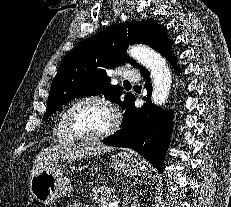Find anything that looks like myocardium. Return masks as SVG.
I'll return each instance as SVG.
<instances>
[{
  "instance_id": "1",
  "label": "myocardium",
  "mask_w": 231,
  "mask_h": 207,
  "mask_svg": "<svg viewBox=\"0 0 231 207\" xmlns=\"http://www.w3.org/2000/svg\"><path fill=\"white\" fill-rule=\"evenodd\" d=\"M86 102H93V103L100 104L110 112L112 121L110 126L105 131L96 135H83L80 134L75 129L71 119L72 112L78 105ZM64 124L67 133L74 140L80 142L92 143V142H98L104 140L110 137L111 135H113L114 133H116L120 127V117L115 106L107 98L99 95H86L76 99L67 107L64 113Z\"/></svg>"
}]
</instances>
